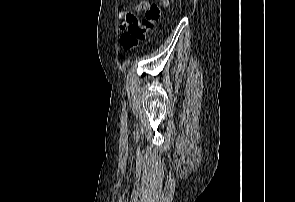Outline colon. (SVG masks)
<instances>
[{
  "label": "colon",
  "mask_w": 295,
  "mask_h": 202,
  "mask_svg": "<svg viewBox=\"0 0 295 202\" xmlns=\"http://www.w3.org/2000/svg\"><path fill=\"white\" fill-rule=\"evenodd\" d=\"M162 12L161 4L154 3L145 14V18L140 23H129L126 31L120 36V45L125 50L136 47L145 34L154 28Z\"/></svg>",
  "instance_id": "1"
}]
</instances>
